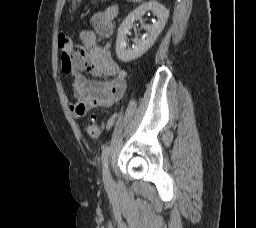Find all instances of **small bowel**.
<instances>
[{
	"label": "small bowel",
	"instance_id": "obj_1",
	"mask_svg": "<svg viewBox=\"0 0 256 228\" xmlns=\"http://www.w3.org/2000/svg\"><path fill=\"white\" fill-rule=\"evenodd\" d=\"M117 15L116 6L94 14L91 18L93 31L81 33L82 45L74 47L70 54L62 50V69L72 78L75 102L70 108L76 119L84 117L93 108L111 106L126 89L127 72L113 59L109 50L98 47L96 38V35L112 36ZM85 73L111 79H91Z\"/></svg>",
	"mask_w": 256,
	"mask_h": 228
}]
</instances>
